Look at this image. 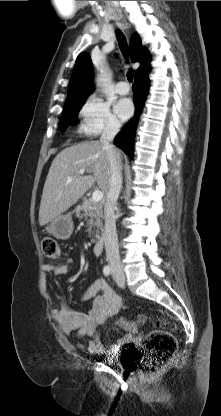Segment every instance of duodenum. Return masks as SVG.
<instances>
[{
  "label": "duodenum",
  "instance_id": "obj_1",
  "mask_svg": "<svg viewBox=\"0 0 221 416\" xmlns=\"http://www.w3.org/2000/svg\"><path fill=\"white\" fill-rule=\"evenodd\" d=\"M103 245H104V243H103V239L102 238L97 239L93 243L92 252H93V254L95 256H99L101 254L102 249H103Z\"/></svg>",
  "mask_w": 221,
  "mask_h": 416
}]
</instances>
